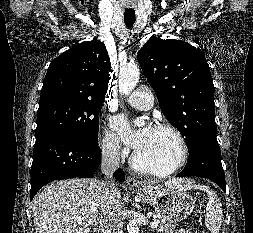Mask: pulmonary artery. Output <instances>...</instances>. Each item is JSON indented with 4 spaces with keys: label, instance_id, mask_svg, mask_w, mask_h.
Segmentation results:
<instances>
[{
    "label": "pulmonary artery",
    "instance_id": "e3ab8cb5",
    "mask_svg": "<svg viewBox=\"0 0 253 233\" xmlns=\"http://www.w3.org/2000/svg\"><path fill=\"white\" fill-rule=\"evenodd\" d=\"M126 100L132 107L140 110H149L154 104L153 93L146 86L138 87Z\"/></svg>",
    "mask_w": 253,
    "mask_h": 233
}]
</instances>
